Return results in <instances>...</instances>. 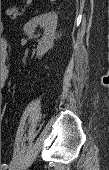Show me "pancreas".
I'll list each match as a JSON object with an SVG mask.
<instances>
[{
  "mask_svg": "<svg viewBox=\"0 0 109 170\" xmlns=\"http://www.w3.org/2000/svg\"><path fill=\"white\" fill-rule=\"evenodd\" d=\"M23 11H24V10H23ZM6 14H7L10 18H12V19H15L17 16L22 15V13H21V12L19 11V9L16 8V7L12 8V9H8V10L6 11Z\"/></svg>",
  "mask_w": 109,
  "mask_h": 170,
  "instance_id": "cf45deb5",
  "label": "pancreas"
}]
</instances>
